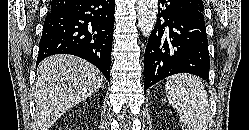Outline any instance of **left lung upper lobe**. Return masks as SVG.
Returning <instances> with one entry per match:
<instances>
[{
    "label": "left lung upper lobe",
    "mask_w": 249,
    "mask_h": 130,
    "mask_svg": "<svg viewBox=\"0 0 249 130\" xmlns=\"http://www.w3.org/2000/svg\"><path fill=\"white\" fill-rule=\"evenodd\" d=\"M184 3L188 4L193 9L203 12L204 6L202 0H183Z\"/></svg>",
    "instance_id": "5c2ea615"
}]
</instances>
